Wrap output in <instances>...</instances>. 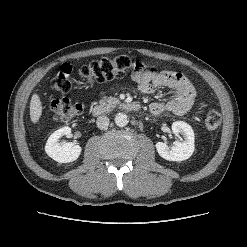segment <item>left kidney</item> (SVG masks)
I'll return each instance as SVG.
<instances>
[{
	"label": "left kidney",
	"instance_id": "1",
	"mask_svg": "<svg viewBox=\"0 0 247 247\" xmlns=\"http://www.w3.org/2000/svg\"><path fill=\"white\" fill-rule=\"evenodd\" d=\"M172 131L174 133L183 134V141H175L174 146L168 147L166 143L157 142L156 149L158 154L169 161H183L194 152V132L192 127L183 121H176L172 123Z\"/></svg>",
	"mask_w": 247,
	"mask_h": 247
}]
</instances>
